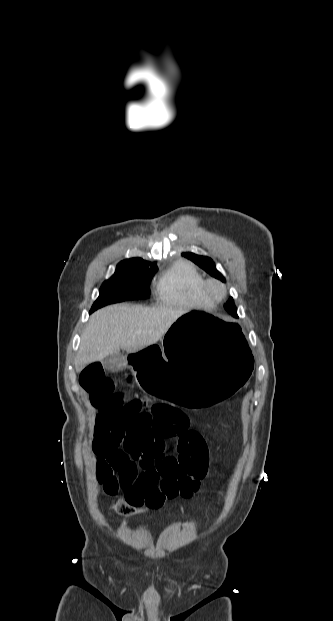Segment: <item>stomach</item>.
Instances as JSON below:
<instances>
[{
	"label": "stomach",
	"mask_w": 333,
	"mask_h": 621,
	"mask_svg": "<svg viewBox=\"0 0 333 621\" xmlns=\"http://www.w3.org/2000/svg\"><path fill=\"white\" fill-rule=\"evenodd\" d=\"M128 363L145 395L167 397L180 413H212L246 388L254 352L236 320L193 310L162 341L130 350Z\"/></svg>",
	"instance_id": "0dacf381"
}]
</instances>
